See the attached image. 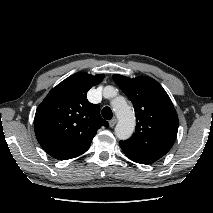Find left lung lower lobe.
<instances>
[{
  "mask_svg": "<svg viewBox=\"0 0 213 213\" xmlns=\"http://www.w3.org/2000/svg\"><path fill=\"white\" fill-rule=\"evenodd\" d=\"M120 147L122 149V151L124 152V154L131 159L132 161L136 162V163H140V164H151L155 161H157V158L154 157H150V156H146V155H142L134 150H132L129 147H126L122 144H120Z\"/></svg>",
  "mask_w": 213,
  "mask_h": 213,
  "instance_id": "1",
  "label": "left lung lower lobe"
}]
</instances>
